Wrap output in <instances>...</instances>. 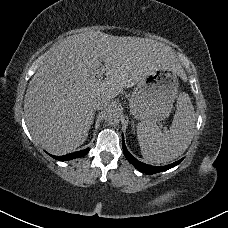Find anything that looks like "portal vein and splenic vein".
Instances as JSON below:
<instances>
[{"mask_svg": "<svg viewBox=\"0 0 228 228\" xmlns=\"http://www.w3.org/2000/svg\"><path fill=\"white\" fill-rule=\"evenodd\" d=\"M106 73L105 71V65H103L102 67L99 68V78H103V75Z\"/></svg>", "mask_w": 228, "mask_h": 228, "instance_id": "obj_1", "label": "portal vein and splenic vein"}]
</instances>
